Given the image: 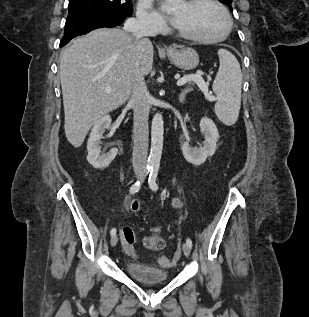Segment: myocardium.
<instances>
[{"label": "myocardium", "instance_id": "f54148a6", "mask_svg": "<svg viewBox=\"0 0 309 317\" xmlns=\"http://www.w3.org/2000/svg\"><path fill=\"white\" fill-rule=\"evenodd\" d=\"M185 2L188 5H196V4H200V3H209V4L214 5L215 7L218 8V10L223 15V18L225 20V28H224V31L221 35H219L217 37H209V38L190 35V34L184 33L182 31L178 30L177 28H175V33L178 37L185 39V40H188V41H191V42L201 43V44L218 43V42H222L228 38V36L230 35L232 28H233V22H232V18L230 16L229 12L227 11V9L225 8V6L222 3H220L218 0H187Z\"/></svg>", "mask_w": 309, "mask_h": 317}]
</instances>
